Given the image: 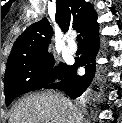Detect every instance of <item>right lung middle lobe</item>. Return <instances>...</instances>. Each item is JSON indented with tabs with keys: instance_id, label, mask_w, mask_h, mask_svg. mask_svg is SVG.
Instances as JSON below:
<instances>
[{
	"instance_id": "right-lung-middle-lobe-1",
	"label": "right lung middle lobe",
	"mask_w": 122,
	"mask_h": 123,
	"mask_svg": "<svg viewBox=\"0 0 122 123\" xmlns=\"http://www.w3.org/2000/svg\"><path fill=\"white\" fill-rule=\"evenodd\" d=\"M53 60L52 55L48 53L6 68L4 79L6 105L9 106L19 95L44 88L53 78L60 79L69 66L62 64L61 67L52 70Z\"/></svg>"
}]
</instances>
